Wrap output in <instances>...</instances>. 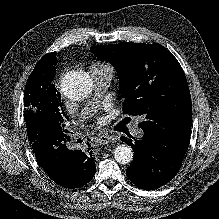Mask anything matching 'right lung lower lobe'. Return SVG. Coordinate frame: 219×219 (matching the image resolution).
I'll return each instance as SVG.
<instances>
[{"mask_svg": "<svg viewBox=\"0 0 219 219\" xmlns=\"http://www.w3.org/2000/svg\"><path fill=\"white\" fill-rule=\"evenodd\" d=\"M27 135L38 163L47 175L65 188H78L90 182L96 169L92 147L70 150V137L54 122L41 120L27 126Z\"/></svg>", "mask_w": 219, "mask_h": 219, "instance_id": "98d812e1", "label": "right lung lower lobe"}]
</instances>
